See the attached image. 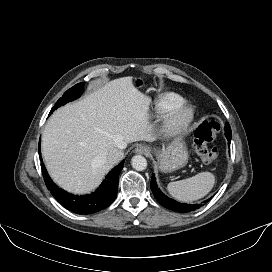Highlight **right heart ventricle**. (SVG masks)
<instances>
[{
  "label": "right heart ventricle",
  "mask_w": 272,
  "mask_h": 272,
  "mask_svg": "<svg viewBox=\"0 0 272 272\" xmlns=\"http://www.w3.org/2000/svg\"><path fill=\"white\" fill-rule=\"evenodd\" d=\"M184 102V98L179 94L169 92L159 96L153 105V111L156 115H167L175 106Z\"/></svg>",
  "instance_id": "e07e8e85"
}]
</instances>
